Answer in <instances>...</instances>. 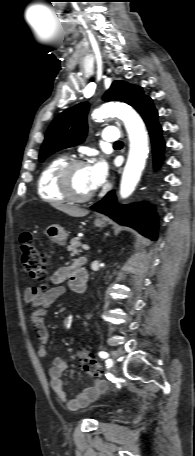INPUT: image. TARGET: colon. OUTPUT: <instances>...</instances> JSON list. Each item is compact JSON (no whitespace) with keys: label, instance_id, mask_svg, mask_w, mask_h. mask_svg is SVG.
I'll return each mask as SVG.
<instances>
[{"label":"colon","instance_id":"1","mask_svg":"<svg viewBox=\"0 0 195 456\" xmlns=\"http://www.w3.org/2000/svg\"><path fill=\"white\" fill-rule=\"evenodd\" d=\"M21 261L33 279L40 282L46 280V260L30 233H24L21 236ZM78 359L80 370L83 373L91 377H99L101 375V367L87 347L79 351Z\"/></svg>","mask_w":195,"mask_h":456}]
</instances>
